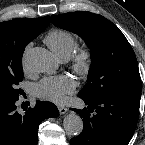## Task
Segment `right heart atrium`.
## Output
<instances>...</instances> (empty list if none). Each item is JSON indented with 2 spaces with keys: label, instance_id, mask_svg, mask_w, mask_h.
Returning a JSON list of instances; mask_svg holds the SVG:
<instances>
[{
  "label": "right heart atrium",
  "instance_id": "d8ad5b80",
  "mask_svg": "<svg viewBox=\"0 0 145 145\" xmlns=\"http://www.w3.org/2000/svg\"><path fill=\"white\" fill-rule=\"evenodd\" d=\"M31 48V44H27L24 48V51H23V54H22V67H23V70L26 72L27 71V67H26V59H27V55H28V52Z\"/></svg>",
  "mask_w": 145,
  "mask_h": 145
}]
</instances>
